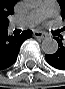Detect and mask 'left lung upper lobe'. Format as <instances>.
<instances>
[{"label":"left lung upper lobe","instance_id":"left-lung-upper-lobe-1","mask_svg":"<svg viewBox=\"0 0 65 89\" xmlns=\"http://www.w3.org/2000/svg\"><path fill=\"white\" fill-rule=\"evenodd\" d=\"M58 2L62 10V16L65 18V0H58Z\"/></svg>","mask_w":65,"mask_h":89}]
</instances>
